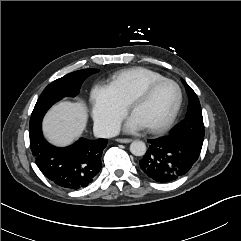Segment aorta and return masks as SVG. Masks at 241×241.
Listing matches in <instances>:
<instances>
[{
	"label": "aorta",
	"mask_w": 241,
	"mask_h": 241,
	"mask_svg": "<svg viewBox=\"0 0 241 241\" xmlns=\"http://www.w3.org/2000/svg\"><path fill=\"white\" fill-rule=\"evenodd\" d=\"M130 152L135 156H143L146 153V145L143 141L136 140L130 145Z\"/></svg>",
	"instance_id": "762f6f07"
}]
</instances>
